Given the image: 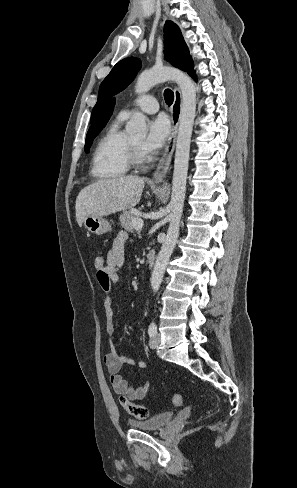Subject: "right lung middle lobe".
I'll return each instance as SVG.
<instances>
[{"mask_svg":"<svg viewBox=\"0 0 297 488\" xmlns=\"http://www.w3.org/2000/svg\"><path fill=\"white\" fill-rule=\"evenodd\" d=\"M102 127H100L97 131H95L94 134H92L91 136H89V137L86 138V144H85V147H84V150H85L86 153L89 152V149L91 147L92 141L99 134V132L101 131Z\"/></svg>","mask_w":297,"mask_h":488,"instance_id":"1","label":"right lung middle lobe"}]
</instances>
